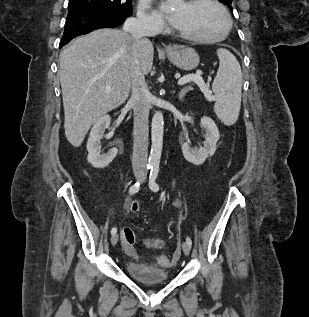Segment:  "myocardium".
Returning <instances> with one entry per match:
<instances>
[{
  "label": "myocardium",
  "instance_id": "1",
  "mask_svg": "<svg viewBox=\"0 0 309 317\" xmlns=\"http://www.w3.org/2000/svg\"><path fill=\"white\" fill-rule=\"evenodd\" d=\"M186 3L190 5L198 4V3H209L214 5L222 14L225 25H224V29L222 33L215 37L194 36V35L183 33L176 29L175 33L178 37L184 40H188L195 43H202V44H211V43L221 42L228 37V35L230 34L232 30V19L230 14L228 13V11L226 10L225 6L222 3H220L218 0H187Z\"/></svg>",
  "mask_w": 309,
  "mask_h": 317
}]
</instances>
